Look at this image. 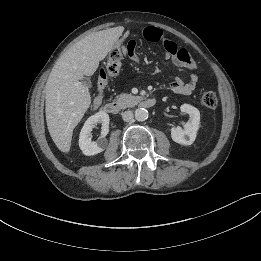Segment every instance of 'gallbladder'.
<instances>
[{
	"label": "gallbladder",
	"mask_w": 261,
	"mask_h": 261,
	"mask_svg": "<svg viewBox=\"0 0 261 261\" xmlns=\"http://www.w3.org/2000/svg\"><path fill=\"white\" fill-rule=\"evenodd\" d=\"M82 84L87 86V87H90L91 86V80L89 77H84L82 80H81Z\"/></svg>",
	"instance_id": "obj_1"
}]
</instances>
